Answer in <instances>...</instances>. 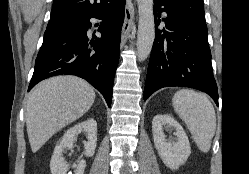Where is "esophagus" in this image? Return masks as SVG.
Wrapping results in <instances>:
<instances>
[{
  "label": "esophagus",
  "instance_id": "esophagus-1",
  "mask_svg": "<svg viewBox=\"0 0 249 174\" xmlns=\"http://www.w3.org/2000/svg\"><path fill=\"white\" fill-rule=\"evenodd\" d=\"M133 22V12L127 5L125 9V19L121 31V46H123L130 35Z\"/></svg>",
  "mask_w": 249,
  "mask_h": 174
}]
</instances>
